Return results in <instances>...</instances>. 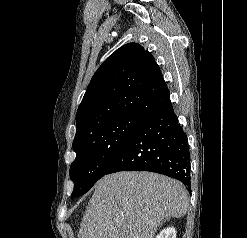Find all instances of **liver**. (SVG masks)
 I'll return each instance as SVG.
<instances>
[{
	"label": "liver",
	"mask_w": 247,
	"mask_h": 238,
	"mask_svg": "<svg viewBox=\"0 0 247 238\" xmlns=\"http://www.w3.org/2000/svg\"><path fill=\"white\" fill-rule=\"evenodd\" d=\"M188 205L182 183L164 175H106L94 186L78 238H154L164 219L183 217Z\"/></svg>",
	"instance_id": "obj_1"
}]
</instances>
